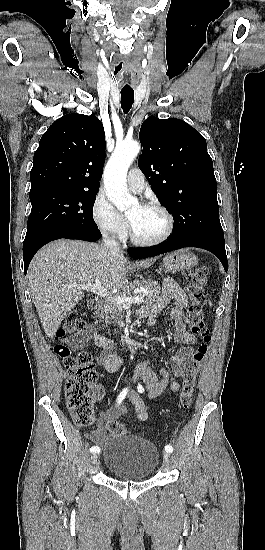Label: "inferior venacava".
<instances>
[{
  "label": "inferior vena cava",
  "instance_id": "obj_1",
  "mask_svg": "<svg viewBox=\"0 0 265 550\" xmlns=\"http://www.w3.org/2000/svg\"><path fill=\"white\" fill-rule=\"evenodd\" d=\"M103 242L105 247L112 253V254H120L122 253L119 243L111 239L108 234H103Z\"/></svg>",
  "mask_w": 265,
  "mask_h": 550
}]
</instances>
